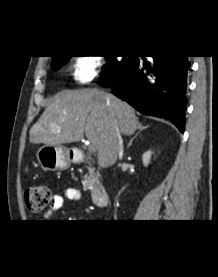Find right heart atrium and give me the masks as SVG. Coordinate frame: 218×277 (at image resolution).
Here are the masks:
<instances>
[{
	"label": "right heart atrium",
	"mask_w": 218,
	"mask_h": 277,
	"mask_svg": "<svg viewBox=\"0 0 218 277\" xmlns=\"http://www.w3.org/2000/svg\"><path fill=\"white\" fill-rule=\"evenodd\" d=\"M103 68V61L95 55L78 56L72 67V81L77 85L89 84L99 76Z\"/></svg>",
	"instance_id": "d8ad5b80"
}]
</instances>
